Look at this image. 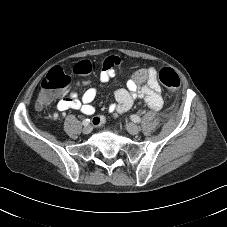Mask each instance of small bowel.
<instances>
[{
    "instance_id": "c3829d8e",
    "label": "small bowel",
    "mask_w": 227,
    "mask_h": 227,
    "mask_svg": "<svg viewBox=\"0 0 227 227\" xmlns=\"http://www.w3.org/2000/svg\"><path fill=\"white\" fill-rule=\"evenodd\" d=\"M120 63L116 56H108L100 61L101 72L100 82L108 83L115 74V69ZM145 82V84H142ZM86 88L81 98L78 97L77 90ZM98 94L96 87L92 85L90 80H81L75 83L74 90L68 97L58 101L56 112H53L51 117L56 118L58 112L68 109L80 110L85 115L91 116L95 113V107L92 105ZM116 102L108 106V111L114 115H119L127 112L133 105L136 99H143L145 104L153 109L160 110L163 106L161 96V88L157 80V74L154 68L140 69L129 78L126 82V88H118L114 90Z\"/></svg>"
}]
</instances>
